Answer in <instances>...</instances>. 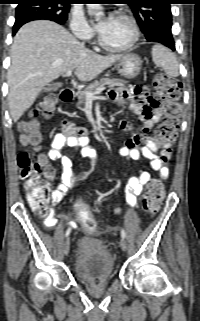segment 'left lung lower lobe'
<instances>
[{
  "instance_id": "obj_1",
  "label": "left lung lower lobe",
  "mask_w": 200,
  "mask_h": 321,
  "mask_svg": "<svg viewBox=\"0 0 200 321\" xmlns=\"http://www.w3.org/2000/svg\"><path fill=\"white\" fill-rule=\"evenodd\" d=\"M154 42H159V43L171 48L173 51L175 50L173 38L162 39V40L154 41Z\"/></svg>"
}]
</instances>
